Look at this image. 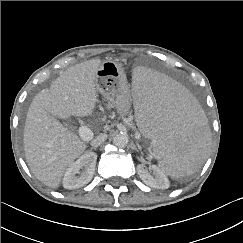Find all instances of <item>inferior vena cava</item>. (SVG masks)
Instances as JSON below:
<instances>
[{"label":"inferior vena cava","instance_id":"602c4592","mask_svg":"<svg viewBox=\"0 0 243 243\" xmlns=\"http://www.w3.org/2000/svg\"><path fill=\"white\" fill-rule=\"evenodd\" d=\"M107 139V135L106 134H100L97 137H95L92 141H91V145L93 147H98L102 142H104Z\"/></svg>","mask_w":243,"mask_h":243}]
</instances>
